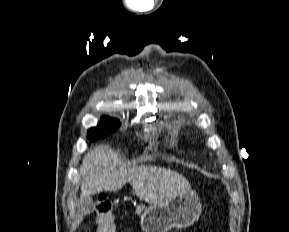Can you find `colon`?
<instances>
[{
    "label": "colon",
    "mask_w": 289,
    "mask_h": 232,
    "mask_svg": "<svg viewBox=\"0 0 289 232\" xmlns=\"http://www.w3.org/2000/svg\"><path fill=\"white\" fill-rule=\"evenodd\" d=\"M95 216L97 218L98 225L97 232H116L114 215L112 212V202L107 196H99L95 207ZM189 232L204 231L201 229H195Z\"/></svg>",
    "instance_id": "colon-1"
}]
</instances>
